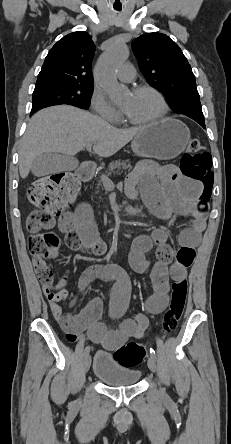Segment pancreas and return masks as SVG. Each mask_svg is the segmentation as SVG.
<instances>
[{
    "instance_id": "1",
    "label": "pancreas",
    "mask_w": 231,
    "mask_h": 444,
    "mask_svg": "<svg viewBox=\"0 0 231 444\" xmlns=\"http://www.w3.org/2000/svg\"><path fill=\"white\" fill-rule=\"evenodd\" d=\"M131 165L127 161L116 160L109 164L103 175L111 176L112 174L120 173L121 170H130ZM102 182V180H101Z\"/></svg>"
}]
</instances>
